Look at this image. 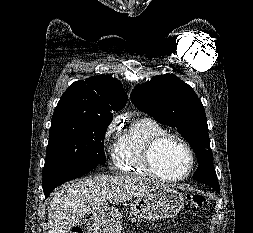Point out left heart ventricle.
I'll return each mask as SVG.
<instances>
[{
	"label": "left heart ventricle",
	"instance_id": "b2bd125f",
	"mask_svg": "<svg viewBox=\"0 0 253 233\" xmlns=\"http://www.w3.org/2000/svg\"><path fill=\"white\" fill-rule=\"evenodd\" d=\"M154 162L157 170L168 177L184 175L190 164L189 155L185 148L174 142L163 144L157 150Z\"/></svg>",
	"mask_w": 253,
	"mask_h": 233
}]
</instances>
